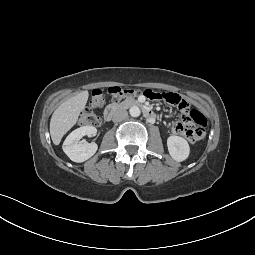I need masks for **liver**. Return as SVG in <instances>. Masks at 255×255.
Returning <instances> with one entry per match:
<instances>
[{"instance_id": "6515ba94", "label": "liver", "mask_w": 255, "mask_h": 255, "mask_svg": "<svg viewBox=\"0 0 255 255\" xmlns=\"http://www.w3.org/2000/svg\"><path fill=\"white\" fill-rule=\"evenodd\" d=\"M88 93L81 92L63 102L53 113L50 121V135L55 145L76 124L80 111L85 107Z\"/></svg>"}]
</instances>
